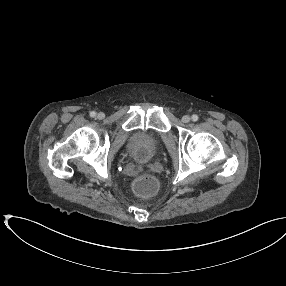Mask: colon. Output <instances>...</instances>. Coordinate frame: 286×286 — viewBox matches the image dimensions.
Instances as JSON below:
<instances>
[{"label": "colon", "instance_id": "obj_1", "mask_svg": "<svg viewBox=\"0 0 286 286\" xmlns=\"http://www.w3.org/2000/svg\"><path fill=\"white\" fill-rule=\"evenodd\" d=\"M157 189L158 181L150 174L140 176L134 183V190L140 196H151Z\"/></svg>", "mask_w": 286, "mask_h": 286}]
</instances>
